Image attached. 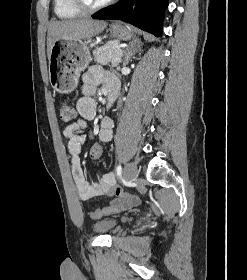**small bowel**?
I'll use <instances>...</instances> for the list:
<instances>
[{
  "instance_id": "c3829d8e",
  "label": "small bowel",
  "mask_w": 247,
  "mask_h": 280,
  "mask_svg": "<svg viewBox=\"0 0 247 280\" xmlns=\"http://www.w3.org/2000/svg\"><path fill=\"white\" fill-rule=\"evenodd\" d=\"M101 84L106 86L108 92L112 89L118 90L119 87V82L114 75L106 72L99 66L89 68L83 75L82 96L76 103L78 116L63 132L64 136L68 139L67 150L70 158L71 174L80 199L89 201L98 196L114 197L109 206L89 210V215L93 219L125 211L140 203L139 198L126 195L119 188L115 187L116 179L112 172L103 174L97 182H89L85 178L81 166L80 153L85 138L80 132L87 128L88 122L94 119L96 115L97 106L94 95L97 87ZM112 136L113 120L105 117L100 122L98 138L108 143L111 141Z\"/></svg>"
}]
</instances>
